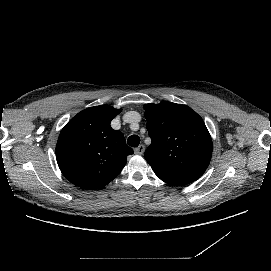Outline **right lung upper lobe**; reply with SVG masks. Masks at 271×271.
Listing matches in <instances>:
<instances>
[{
    "instance_id": "cb5924a9",
    "label": "right lung upper lobe",
    "mask_w": 271,
    "mask_h": 271,
    "mask_svg": "<svg viewBox=\"0 0 271 271\" xmlns=\"http://www.w3.org/2000/svg\"><path fill=\"white\" fill-rule=\"evenodd\" d=\"M121 112L111 106L87 108L62 129L56 158L63 175L83 189H99L122 170L133 150L121 131L111 128V120Z\"/></svg>"
}]
</instances>
